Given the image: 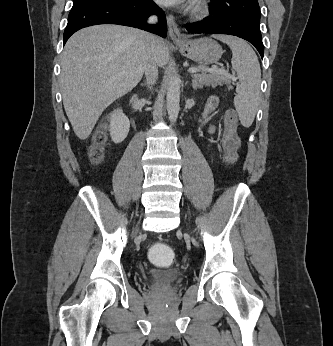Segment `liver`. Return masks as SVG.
I'll use <instances>...</instances> for the list:
<instances>
[{
	"instance_id": "6515ba94",
	"label": "liver",
	"mask_w": 333,
	"mask_h": 346,
	"mask_svg": "<svg viewBox=\"0 0 333 346\" xmlns=\"http://www.w3.org/2000/svg\"><path fill=\"white\" fill-rule=\"evenodd\" d=\"M149 46L147 33L119 25L87 27L69 38L60 83L65 112L79 139H87L103 111L140 82ZM154 56L160 67L168 63V46L158 37Z\"/></svg>"
}]
</instances>
